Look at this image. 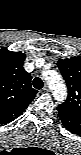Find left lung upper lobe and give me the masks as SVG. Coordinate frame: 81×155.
I'll list each match as a JSON object with an SVG mask.
<instances>
[{"instance_id": "5c2ea615", "label": "left lung upper lobe", "mask_w": 81, "mask_h": 155, "mask_svg": "<svg viewBox=\"0 0 81 155\" xmlns=\"http://www.w3.org/2000/svg\"><path fill=\"white\" fill-rule=\"evenodd\" d=\"M57 66L68 86V97L58 105V111L81 120V57L59 59Z\"/></svg>"}]
</instances>
